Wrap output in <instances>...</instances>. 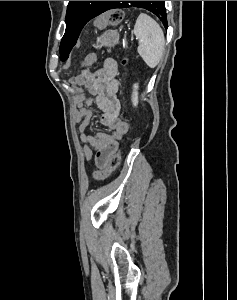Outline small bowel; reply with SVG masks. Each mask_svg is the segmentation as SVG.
<instances>
[{"instance_id":"1","label":"small bowel","mask_w":237,"mask_h":300,"mask_svg":"<svg viewBox=\"0 0 237 300\" xmlns=\"http://www.w3.org/2000/svg\"><path fill=\"white\" fill-rule=\"evenodd\" d=\"M118 65L113 59H106L103 66L97 71L89 69L77 76L76 85L87 88L95 97L97 107L102 111L100 121L111 130L110 133L87 134L86 128L90 123L92 100L85 99V106L81 100L77 101L78 110L76 121L80 122L79 132L81 141L85 144L84 155L89 161L92 158V149L95 151V164L98 168L104 167L110 156L118 150L119 141L128 132L129 126L119 118L120 102L117 98L119 82L117 80Z\"/></svg>"}]
</instances>
